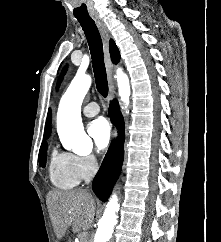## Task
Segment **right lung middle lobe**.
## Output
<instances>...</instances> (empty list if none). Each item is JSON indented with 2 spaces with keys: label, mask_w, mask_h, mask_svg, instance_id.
Wrapping results in <instances>:
<instances>
[{
  "label": "right lung middle lobe",
  "mask_w": 221,
  "mask_h": 242,
  "mask_svg": "<svg viewBox=\"0 0 221 242\" xmlns=\"http://www.w3.org/2000/svg\"><path fill=\"white\" fill-rule=\"evenodd\" d=\"M49 137H44L43 142L41 144L40 150H39V164L41 167H45L46 165V153H47V142L46 140Z\"/></svg>",
  "instance_id": "obj_1"
}]
</instances>
